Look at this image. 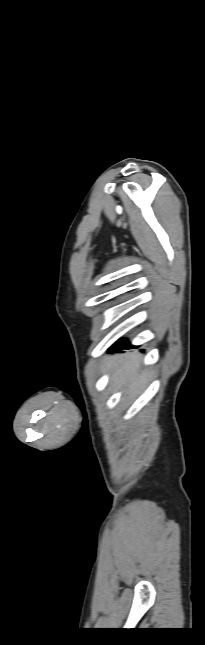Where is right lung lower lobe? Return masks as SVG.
<instances>
[{"mask_svg": "<svg viewBox=\"0 0 205 645\" xmlns=\"http://www.w3.org/2000/svg\"><path fill=\"white\" fill-rule=\"evenodd\" d=\"M131 347L132 346L130 345V343H128L125 340H122V341H119L114 347H112V349H116V348H118V349L119 348H131Z\"/></svg>", "mask_w": 205, "mask_h": 645, "instance_id": "1", "label": "right lung lower lobe"}]
</instances>
